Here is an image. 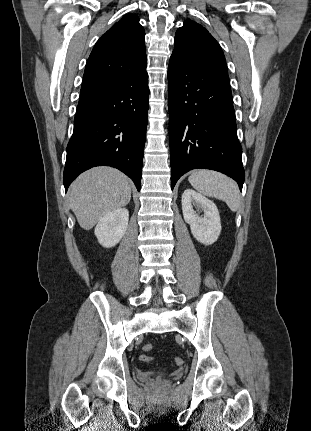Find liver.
<instances>
[{
	"mask_svg": "<svg viewBox=\"0 0 311 431\" xmlns=\"http://www.w3.org/2000/svg\"><path fill=\"white\" fill-rule=\"evenodd\" d=\"M69 206L84 229L102 216L127 206L131 200L129 178L115 168H92L78 176L69 190Z\"/></svg>",
	"mask_w": 311,
	"mask_h": 431,
	"instance_id": "obj_1",
	"label": "liver"
}]
</instances>
